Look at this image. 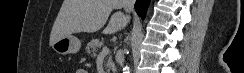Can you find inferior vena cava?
Segmentation results:
<instances>
[{"mask_svg": "<svg viewBox=\"0 0 244 73\" xmlns=\"http://www.w3.org/2000/svg\"><path fill=\"white\" fill-rule=\"evenodd\" d=\"M121 2H122V6L124 7L125 11L130 12L133 10L135 0H123ZM123 61L124 60L122 57V59L120 61L121 65L123 64Z\"/></svg>", "mask_w": 244, "mask_h": 73, "instance_id": "inferior-vena-cava-1", "label": "inferior vena cava"}]
</instances>
